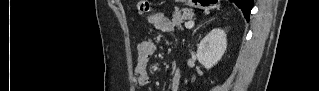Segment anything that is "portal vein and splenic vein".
I'll return each instance as SVG.
<instances>
[{"mask_svg":"<svg viewBox=\"0 0 319 91\" xmlns=\"http://www.w3.org/2000/svg\"><path fill=\"white\" fill-rule=\"evenodd\" d=\"M185 27H186L187 29L193 28V27H194V22H193V21H188V22H186V23H185Z\"/></svg>","mask_w":319,"mask_h":91,"instance_id":"portal-vein-and-splenic-vein-1","label":"portal vein and splenic vein"}]
</instances>
